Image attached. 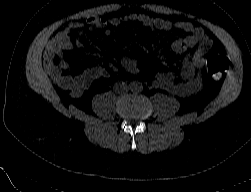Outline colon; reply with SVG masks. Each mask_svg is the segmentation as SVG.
Masks as SVG:
<instances>
[{
    "label": "colon",
    "instance_id": "obj_1",
    "mask_svg": "<svg viewBox=\"0 0 251 192\" xmlns=\"http://www.w3.org/2000/svg\"><path fill=\"white\" fill-rule=\"evenodd\" d=\"M213 66L216 68L215 71L213 72V76H214L215 78L220 77V75L222 74V73H221L222 71H221V69H220V68H222V67L220 66V62H219V61L213 62ZM218 67H219V69H218Z\"/></svg>",
    "mask_w": 251,
    "mask_h": 192
}]
</instances>
